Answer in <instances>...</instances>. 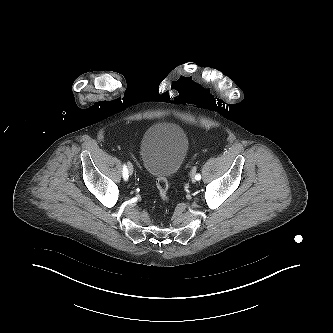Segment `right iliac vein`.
<instances>
[{"label":"right iliac vein","mask_w":333,"mask_h":333,"mask_svg":"<svg viewBox=\"0 0 333 333\" xmlns=\"http://www.w3.org/2000/svg\"><path fill=\"white\" fill-rule=\"evenodd\" d=\"M128 171H129V174H133V166L132 164H128Z\"/></svg>","instance_id":"obj_1"}]
</instances>
